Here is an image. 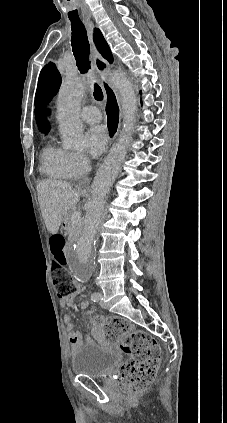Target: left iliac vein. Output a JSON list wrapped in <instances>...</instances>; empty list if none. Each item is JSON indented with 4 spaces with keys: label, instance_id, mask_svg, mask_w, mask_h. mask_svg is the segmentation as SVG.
Returning a JSON list of instances; mask_svg holds the SVG:
<instances>
[{
    "label": "left iliac vein",
    "instance_id": "4c4485c4",
    "mask_svg": "<svg viewBox=\"0 0 227 423\" xmlns=\"http://www.w3.org/2000/svg\"><path fill=\"white\" fill-rule=\"evenodd\" d=\"M102 300H103V295H102V294H100V305H101V307H103V308H107L106 304H105Z\"/></svg>",
    "mask_w": 227,
    "mask_h": 423
}]
</instances>
